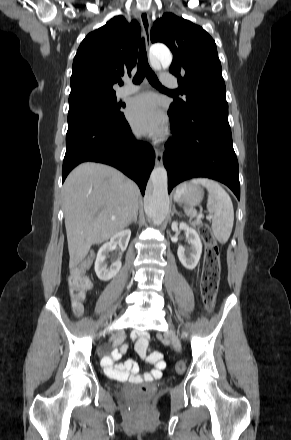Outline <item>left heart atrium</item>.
Here are the masks:
<instances>
[{
  "label": "left heart atrium",
  "instance_id": "1",
  "mask_svg": "<svg viewBox=\"0 0 291 440\" xmlns=\"http://www.w3.org/2000/svg\"><path fill=\"white\" fill-rule=\"evenodd\" d=\"M126 116L135 131L141 134L158 133L164 124V116L150 95L134 98L127 107Z\"/></svg>",
  "mask_w": 291,
  "mask_h": 440
}]
</instances>
